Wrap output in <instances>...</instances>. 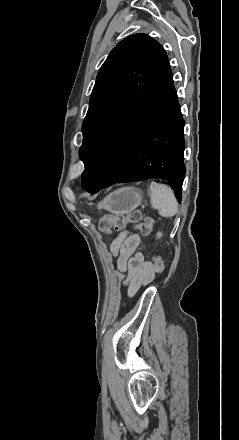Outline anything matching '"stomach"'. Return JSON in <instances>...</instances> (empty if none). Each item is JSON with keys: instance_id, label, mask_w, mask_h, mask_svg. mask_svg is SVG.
<instances>
[{"instance_id": "stomach-1", "label": "stomach", "mask_w": 239, "mask_h": 440, "mask_svg": "<svg viewBox=\"0 0 239 440\" xmlns=\"http://www.w3.org/2000/svg\"><path fill=\"white\" fill-rule=\"evenodd\" d=\"M142 200V190H138V188H120V190H115V192L106 196L102 202H99L97 208L122 216V214L133 212L135 208L140 206Z\"/></svg>"}]
</instances>
